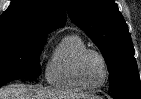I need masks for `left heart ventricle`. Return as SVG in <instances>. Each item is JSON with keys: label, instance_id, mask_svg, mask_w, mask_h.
Masks as SVG:
<instances>
[{"label": "left heart ventricle", "instance_id": "left-heart-ventricle-1", "mask_svg": "<svg viewBox=\"0 0 141 99\" xmlns=\"http://www.w3.org/2000/svg\"><path fill=\"white\" fill-rule=\"evenodd\" d=\"M84 79L90 85H99L105 76V70L101 59L95 54L85 57L82 65Z\"/></svg>", "mask_w": 141, "mask_h": 99}]
</instances>
